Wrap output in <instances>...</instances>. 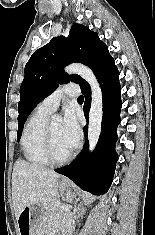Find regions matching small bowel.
<instances>
[{
    "instance_id": "small-bowel-1",
    "label": "small bowel",
    "mask_w": 155,
    "mask_h": 235,
    "mask_svg": "<svg viewBox=\"0 0 155 235\" xmlns=\"http://www.w3.org/2000/svg\"><path fill=\"white\" fill-rule=\"evenodd\" d=\"M42 235H48V232H44V233H42Z\"/></svg>"
}]
</instances>
